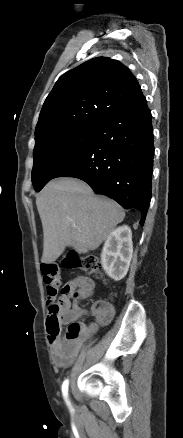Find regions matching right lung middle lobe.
<instances>
[{"label":"right lung middle lobe","mask_w":183,"mask_h":438,"mask_svg":"<svg viewBox=\"0 0 183 438\" xmlns=\"http://www.w3.org/2000/svg\"><path fill=\"white\" fill-rule=\"evenodd\" d=\"M96 126L79 125L43 134L35 139L32 184L40 191L91 141Z\"/></svg>","instance_id":"1"}]
</instances>
